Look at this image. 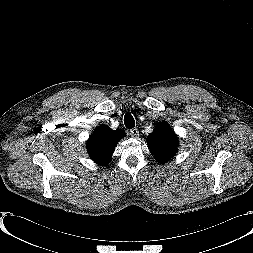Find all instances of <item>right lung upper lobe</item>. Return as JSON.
Returning <instances> with one entry per match:
<instances>
[{
  "label": "right lung upper lobe",
  "instance_id": "right-lung-upper-lobe-1",
  "mask_svg": "<svg viewBox=\"0 0 253 253\" xmlns=\"http://www.w3.org/2000/svg\"><path fill=\"white\" fill-rule=\"evenodd\" d=\"M124 136L125 132L121 129L112 130L106 125H101L88 139L87 152L93 161L104 166L110 163L115 146Z\"/></svg>",
  "mask_w": 253,
  "mask_h": 253
}]
</instances>
